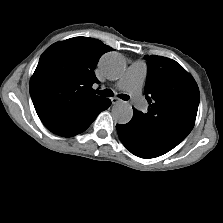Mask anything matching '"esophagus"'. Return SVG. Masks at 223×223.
Returning <instances> with one entry per match:
<instances>
[{
	"instance_id": "34e87169",
	"label": "esophagus",
	"mask_w": 223,
	"mask_h": 223,
	"mask_svg": "<svg viewBox=\"0 0 223 223\" xmlns=\"http://www.w3.org/2000/svg\"><path fill=\"white\" fill-rule=\"evenodd\" d=\"M111 102H112V104H117V103L121 102V100L117 97H113V98H111Z\"/></svg>"
}]
</instances>
